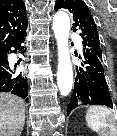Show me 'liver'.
I'll return each mask as SVG.
<instances>
[{
    "mask_svg": "<svg viewBox=\"0 0 117 136\" xmlns=\"http://www.w3.org/2000/svg\"><path fill=\"white\" fill-rule=\"evenodd\" d=\"M24 124V100L10 93H0V136H20Z\"/></svg>",
    "mask_w": 117,
    "mask_h": 136,
    "instance_id": "obj_1",
    "label": "liver"
}]
</instances>
